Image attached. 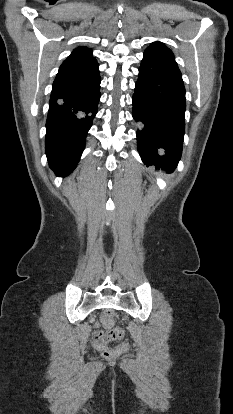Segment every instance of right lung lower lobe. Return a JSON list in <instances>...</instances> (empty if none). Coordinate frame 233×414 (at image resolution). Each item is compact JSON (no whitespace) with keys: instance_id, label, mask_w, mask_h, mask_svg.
<instances>
[{"instance_id":"obj_1","label":"right lung lower lobe","mask_w":233,"mask_h":414,"mask_svg":"<svg viewBox=\"0 0 233 414\" xmlns=\"http://www.w3.org/2000/svg\"><path fill=\"white\" fill-rule=\"evenodd\" d=\"M100 99L98 66L82 73H58L46 122V154L58 176L77 165Z\"/></svg>"}]
</instances>
